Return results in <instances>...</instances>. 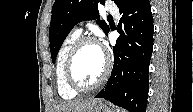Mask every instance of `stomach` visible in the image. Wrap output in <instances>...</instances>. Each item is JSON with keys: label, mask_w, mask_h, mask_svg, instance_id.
<instances>
[{"label": "stomach", "mask_w": 193, "mask_h": 112, "mask_svg": "<svg viewBox=\"0 0 193 112\" xmlns=\"http://www.w3.org/2000/svg\"><path fill=\"white\" fill-rule=\"evenodd\" d=\"M88 112H114L101 100L95 102Z\"/></svg>", "instance_id": "1"}]
</instances>
